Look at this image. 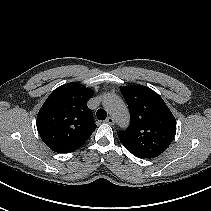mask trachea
I'll list each match as a JSON object with an SVG mask.
<instances>
[{
  "label": "trachea",
  "instance_id": "1",
  "mask_svg": "<svg viewBox=\"0 0 211 211\" xmlns=\"http://www.w3.org/2000/svg\"><path fill=\"white\" fill-rule=\"evenodd\" d=\"M96 116H97L98 120H105V118L107 117V113L103 109H98Z\"/></svg>",
  "mask_w": 211,
  "mask_h": 211
}]
</instances>
